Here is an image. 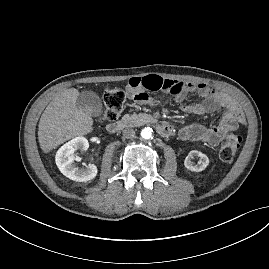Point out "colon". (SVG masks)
<instances>
[{
  "label": "colon",
  "mask_w": 269,
  "mask_h": 269,
  "mask_svg": "<svg viewBox=\"0 0 269 269\" xmlns=\"http://www.w3.org/2000/svg\"><path fill=\"white\" fill-rule=\"evenodd\" d=\"M127 95L120 87H107L103 92L105 104L104 119L115 120L123 110ZM242 136L233 132L226 134L219 148V157L225 163H230L238 153Z\"/></svg>",
  "instance_id": "colon-1"
}]
</instances>
